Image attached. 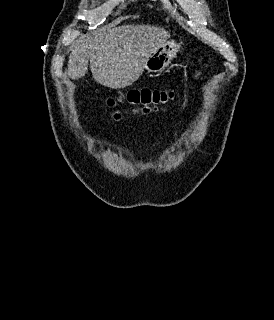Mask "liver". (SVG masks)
Instances as JSON below:
<instances>
[{
  "label": "liver",
  "mask_w": 274,
  "mask_h": 320,
  "mask_svg": "<svg viewBox=\"0 0 274 320\" xmlns=\"http://www.w3.org/2000/svg\"><path fill=\"white\" fill-rule=\"evenodd\" d=\"M170 34L155 26H118L101 28L97 36H82L70 46L68 76L83 78L88 70L101 86L127 88L142 76L150 54L163 46Z\"/></svg>",
  "instance_id": "obj_1"
}]
</instances>
